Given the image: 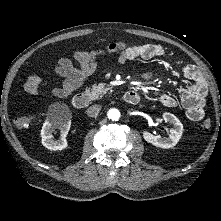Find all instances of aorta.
<instances>
[{"label":"aorta","instance_id":"aorta-1","mask_svg":"<svg viewBox=\"0 0 221 221\" xmlns=\"http://www.w3.org/2000/svg\"><path fill=\"white\" fill-rule=\"evenodd\" d=\"M108 117L114 121H117L120 118V112L118 109H110L108 112Z\"/></svg>","mask_w":221,"mask_h":221}]
</instances>
